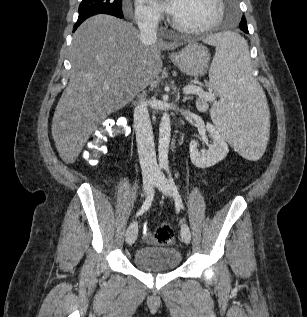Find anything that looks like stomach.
I'll return each instance as SVG.
<instances>
[{"instance_id":"0dacf381","label":"stomach","mask_w":307,"mask_h":317,"mask_svg":"<svg viewBox=\"0 0 307 317\" xmlns=\"http://www.w3.org/2000/svg\"><path fill=\"white\" fill-rule=\"evenodd\" d=\"M171 61L186 75L203 76L210 61L208 49L198 43H189L180 52L170 56Z\"/></svg>"}]
</instances>
